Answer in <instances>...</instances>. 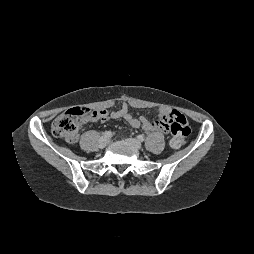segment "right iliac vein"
I'll use <instances>...</instances> for the list:
<instances>
[{"instance_id": "1", "label": "right iliac vein", "mask_w": 254, "mask_h": 254, "mask_svg": "<svg viewBox=\"0 0 254 254\" xmlns=\"http://www.w3.org/2000/svg\"><path fill=\"white\" fill-rule=\"evenodd\" d=\"M109 143L108 138L102 137L99 141L100 148H104Z\"/></svg>"}]
</instances>
